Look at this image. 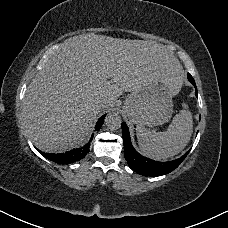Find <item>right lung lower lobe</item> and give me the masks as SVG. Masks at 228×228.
I'll return each instance as SVG.
<instances>
[{"mask_svg": "<svg viewBox=\"0 0 228 228\" xmlns=\"http://www.w3.org/2000/svg\"><path fill=\"white\" fill-rule=\"evenodd\" d=\"M105 115H103L98 122L96 123L95 130H99L104 122ZM93 138V134L91 136V140ZM90 140V141H91ZM90 144H86L85 146L77 149H73L66 153L61 154H50V153H44L39 151L44 157L50 159L51 161L58 163V164H69L72 162H76L86 156V154L89 152Z\"/></svg>", "mask_w": 228, "mask_h": 228, "instance_id": "1", "label": "right lung lower lobe"}]
</instances>
